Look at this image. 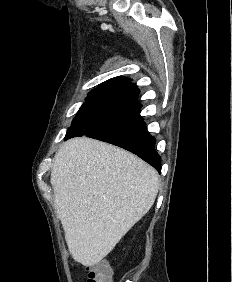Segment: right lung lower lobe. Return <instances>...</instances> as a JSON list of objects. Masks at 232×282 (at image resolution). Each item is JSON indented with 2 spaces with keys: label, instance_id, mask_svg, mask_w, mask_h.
<instances>
[{
  "label": "right lung lower lobe",
  "instance_id": "obj_1",
  "mask_svg": "<svg viewBox=\"0 0 232 282\" xmlns=\"http://www.w3.org/2000/svg\"><path fill=\"white\" fill-rule=\"evenodd\" d=\"M87 137L124 148L142 158L161 172V158L155 150V138L146 130L143 120L119 129L94 133Z\"/></svg>",
  "mask_w": 232,
  "mask_h": 282
}]
</instances>
